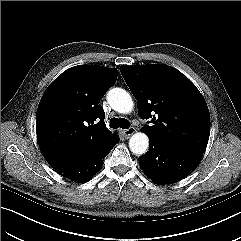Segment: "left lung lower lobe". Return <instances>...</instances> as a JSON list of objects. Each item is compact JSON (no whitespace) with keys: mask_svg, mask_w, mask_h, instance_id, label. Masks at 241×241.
Masks as SVG:
<instances>
[{"mask_svg":"<svg viewBox=\"0 0 241 241\" xmlns=\"http://www.w3.org/2000/svg\"><path fill=\"white\" fill-rule=\"evenodd\" d=\"M149 140V151L139 157V164L156 184L173 183L185 178L194 171L201 160L202 154Z\"/></svg>","mask_w":241,"mask_h":241,"instance_id":"obj_1","label":"left lung lower lobe"}]
</instances>
